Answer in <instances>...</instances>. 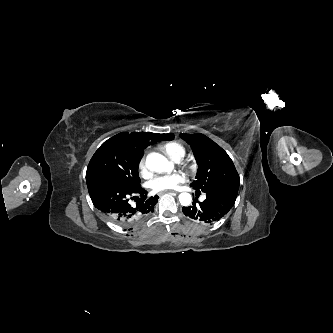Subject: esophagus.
<instances>
[{"label": "esophagus", "mask_w": 333, "mask_h": 333, "mask_svg": "<svg viewBox=\"0 0 333 333\" xmlns=\"http://www.w3.org/2000/svg\"><path fill=\"white\" fill-rule=\"evenodd\" d=\"M166 192H168V193H177V192L172 191V190H167V191L161 192L160 195H162L163 193H166Z\"/></svg>", "instance_id": "esophagus-1"}]
</instances>
